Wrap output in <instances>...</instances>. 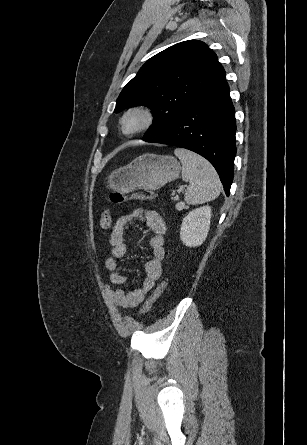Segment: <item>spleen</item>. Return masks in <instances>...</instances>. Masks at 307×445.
<instances>
[{"mask_svg": "<svg viewBox=\"0 0 307 445\" xmlns=\"http://www.w3.org/2000/svg\"><path fill=\"white\" fill-rule=\"evenodd\" d=\"M174 152L182 162V178L189 182L185 190L187 204H203L219 196L220 178L206 158L186 148H175Z\"/></svg>", "mask_w": 307, "mask_h": 445, "instance_id": "spleen-1", "label": "spleen"}]
</instances>
